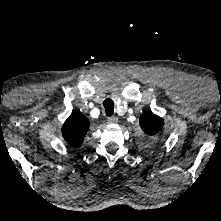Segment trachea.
<instances>
[{"instance_id": "trachea-1", "label": "trachea", "mask_w": 221, "mask_h": 221, "mask_svg": "<svg viewBox=\"0 0 221 221\" xmlns=\"http://www.w3.org/2000/svg\"><path fill=\"white\" fill-rule=\"evenodd\" d=\"M103 106L105 108L106 116L108 117L112 116L114 113V102L110 98H107L103 102Z\"/></svg>"}]
</instances>
